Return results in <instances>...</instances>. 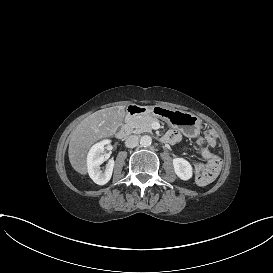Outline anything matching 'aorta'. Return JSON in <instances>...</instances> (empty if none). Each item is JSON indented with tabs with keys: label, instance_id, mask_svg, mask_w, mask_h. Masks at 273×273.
I'll list each match as a JSON object with an SVG mask.
<instances>
[{
	"label": "aorta",
	"instance_id": "762f6f07",
	"mask_svg": "<svg viewBox=\"0 0 273 273\" xmlns=\"http://www.w3.org/2000/svg\"><path fill=\"white\" fill-rule=\"evenodd\" d=\"M152 143V138L149 135H144L140 138V145L142 147H148Z\"/></svg>",
	"mask_w": 273,
	"mask_h": 273
}]
</instances>
